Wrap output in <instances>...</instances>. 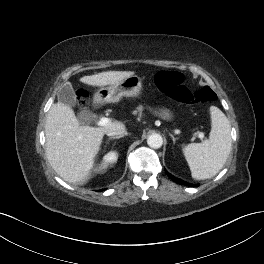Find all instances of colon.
<instances>
[{
    "label": "colon",
    "mask_w": 264,
    "mask_h": 264,
    "mask_svg": "<svg viewBox=\"0 0 264 264\" xmlns=\"http://www.w3.org/2000/svg\"><path fill=\"white\" fill-rule=\"evenodd\" d=\"M183 75L176 71H162L155 76V84L161 92L170 98L183 104L209 103L216 98L215 93L209 87H202L196 92H190L183 84ZM77 103L83 106L88 98L85 90L76 92Z\"/></svg>",
    "instance_id": "5ec220e1"
}]
</instances>
